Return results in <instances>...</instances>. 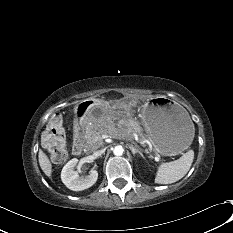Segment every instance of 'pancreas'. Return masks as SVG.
I'll return each mask as SVG.
<instances>
[{"instance_id":"cf45deb5","label":"pancreas","mask_w":233,"mask_h":233,"mask_svg":"<svg viewBox=\"0 0 233 233\" xmlns=\"http://www.w3.org/2000/svg\"><path fill=\"white\" fill-rule=\"evenodd\" d=\"M121 129V127L116 128L115 124L110 119L88 125L86 127L84 136L86 147L91 150H95L98 147L102 146L104 143L102 135L104 134L122 139L131 137L133 132H137L138 134H140V130L137 125L135 127L127 128L124 132L121 131Z\"/></svg>"}]
</instances>
